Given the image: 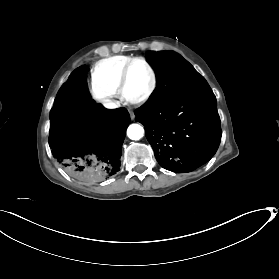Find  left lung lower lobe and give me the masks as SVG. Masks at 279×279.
<instances>
[{
	"mask_svg": "<svg viewBox=\"0 0 279 279\" xmlns=\"http://www.w3.org/2000/svg\"><path fill=\"white\" fill-rule=\"evenodd\" d=\"M135 115L145 127L156 160L166 170L191 172L218 149L220 118L216 98L204 78L161 105L141 106Z\"/></svg>",
	"mask_w": 279,
	"mask_h": 279,
	"instance_id": "1",
	"label": "left lung lower lobe"
}]
</instances>
